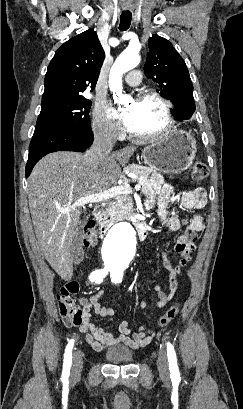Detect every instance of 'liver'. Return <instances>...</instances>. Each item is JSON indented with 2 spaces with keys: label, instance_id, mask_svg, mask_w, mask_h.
<instances>
[{
  "label": "liver",
  "instance_id": "obj_1",
  "mask_svg": "<svg viewBox=\"0 0 243 409\" xmlns=\"http://www.w3.org/2000/svg\"><path fill=\"white\" fill-rule=\"evenodd\" d=\"M136 147L128 146L97 164L76 152L43 157L28 178V200L40 249L54 271L68 281L73 275L71 247L78 235L81 209L60 212L88 195L107 190L121 175Z\"/></svg>",
  "mask_w": 243,
  "mask_h": 409
}]
</instances>
